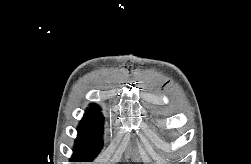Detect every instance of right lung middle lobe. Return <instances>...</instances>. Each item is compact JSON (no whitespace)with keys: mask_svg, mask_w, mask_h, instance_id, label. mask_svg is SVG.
Segmentation results:
<instances>
[{"mask_svg":"<svg viewBox=\"0 0 251 164\" xmlns=\"http://www.w3.org/2000/svg\"><path fill=\"white\" fill-rule=\"evenodd\" d=\"M103 117L100 109L88 108L78 127L73 162H85L93 160L103 146Z\"/></svg>","mask_w":251,"mask_h":164,"instance_id":"1","label":"right lung middle lobe"}]
</instances>
